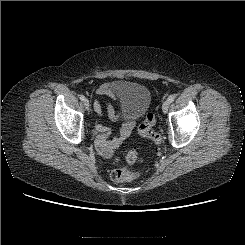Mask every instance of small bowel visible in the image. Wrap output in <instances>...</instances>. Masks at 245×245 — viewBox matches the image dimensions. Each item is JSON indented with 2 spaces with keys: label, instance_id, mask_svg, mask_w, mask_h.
<instances>
[{
  "label": "small bowel",
  "instance_id": "small-bowel-1",
  "mask_svg": "<svg viewBox=\"0 0 245 245\" xmlns=\"http://www.w3.org/2000/svg\"><path fill=\"white\" fill-rule=\"evenodd\" d=\"M116 86L117 85L112 82L101 84L100 86L97 87L96 93L98 95H105L111 98H116L117 97L115 93ZM94 110L96 111L97 114L102 115V107L99 101L94 102ZM107 112L111 120L113 121L120 120L121 113L116 112L112 108V106L110 105L107 106ZM137 119L138 118L133 117L126 120L122 124L119 134L111 139L108 138L110 134L109 128L101 125L97 126L96 129L98 134L95 140V145L98 152L104 157H111L114 151L131 135L132 131L136 126Z\"/></svg>",
  "mask_w": 245,
  "mask_h": 245
}]
</instances>
